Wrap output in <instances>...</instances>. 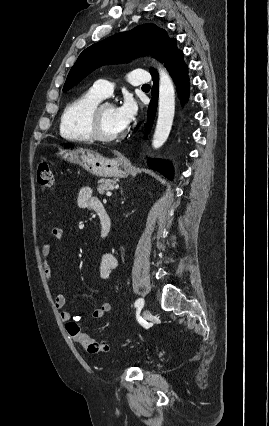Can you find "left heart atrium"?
<instances>
[{
    "mask_svg": "<svg viewBox=\"0 0 269 426\" xmlns=\"http://www.w3.org/2000/svg\"><path fill=\"white\" fill-rule=\"evenodd\" d=\"M116 118L119 125L125 129L135 118L136 105L131 101H125L121 106L115 108Z\"/></svg>",
    "mask_w": 269,
    "mask_h": 426,
    "instance_id": "39dd6f15",
    "label": "left heart atrium"
}]
</instances>
